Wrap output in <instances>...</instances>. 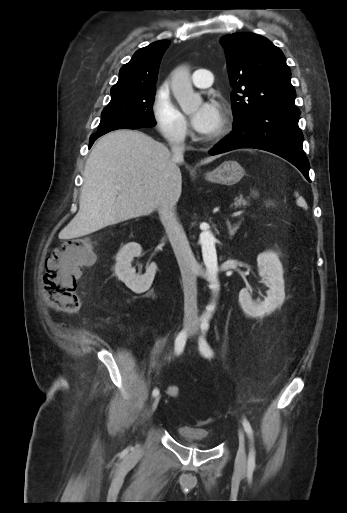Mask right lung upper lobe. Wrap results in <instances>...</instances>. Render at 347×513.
<instances>
[{
    "mask_svg": "<svg viewBox=\"0 0 347 513\" xmlns=\"http://www.w3.org/2000/svg\"><path fill=\"white\" fill-rule=\"evenodd\" d=\"M169 45V40H160L137 50L132 59L120 69L119 80L111 91L156 86L160 61Z\"/></svg>",
    "mask_w": 347,
    "mask_h": 513,
    "instance_id": "1",
    "label": "right lung upper lobe"
}]
</instances>
